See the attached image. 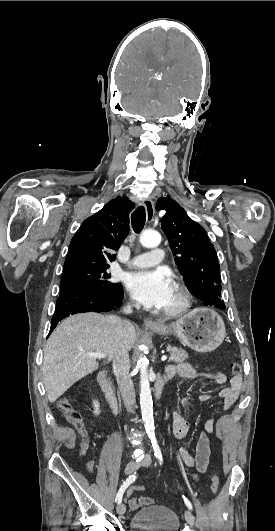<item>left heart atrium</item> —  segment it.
<instances>
[{
  "label": "left heart atrium",
  "instance_id": "left-heart-atrium-1",
  "mask_svg": "<svg viewBox=\"0 0 275 531\" xmlns=\"http://www.w3.org/2000/svg\"><path fill=\"white\" fill-rule=\"evenodd\" d=\"M126 287L146 307L161 308L173 285L171 274L164 268L142 269L127 274Z\"/></svg>",
  "mask_w": 275,
  "mask_h": 531
}]
</instances>
